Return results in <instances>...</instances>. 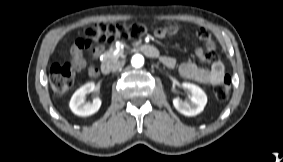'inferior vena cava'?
<instances>
[{
    "label": "inferior vena cava",
    "instance_id": "1",
    "mask_svg": "<svg viewBox=\"0 0 283 162\" xmlns=\"http://www.w3.org/2000/svg\"><path fill=\"white\" fill-rule=\"evenodd\" d=\"M124 63L123 62H117L116 64L113 65L112 71L115 72L123 67Z\"/></svg>",
    "mask_w": 283,
    "mask_h": 162
}]
</instances>
